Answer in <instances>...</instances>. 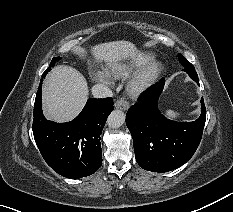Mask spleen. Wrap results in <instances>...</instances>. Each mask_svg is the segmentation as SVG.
<instances>
[{
  "instance_id": "obj_1",
  "label": "spleen",
  "mask_w": 233,
  "mask_h": 212,
  "mask_svg": "<svg viewBox=\"0 0 233 212\" xmlns=\"http://www.w3.org/2000/svg\"><path fill=\"white\" fill-rule=\"evenodd\" d=\"M165 115L170 119H177L180 117L179 113L170 109L166 110Z\"/></svg>"
}]
</instances>
